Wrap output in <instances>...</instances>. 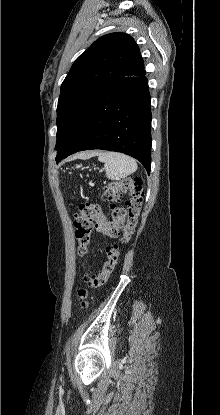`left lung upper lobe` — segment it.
Listing matches in <instances>:
<instances>
[{
	"mask_svg": "<svg viewBox=\"0 0 220 415\" xmlns=\"http://www.w3.org/2000/svg\"><path fill=\"white\" fill-rule=\"evenodd\" d=\"M144 69L140 50L125 33L96 40L72 65L61 85L57 106V155L72 144L88 113L116 79Z\"/></svg>",
	"mask_w": 220,
	"mask_h": 415,
	"instance_id": "1",
	"label": "left lung upper lobe"
}]
</instances>
